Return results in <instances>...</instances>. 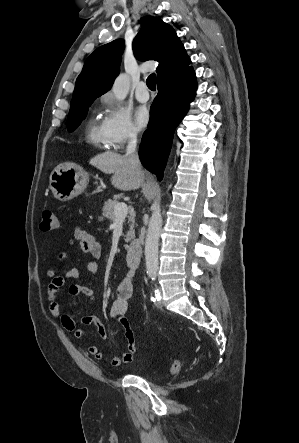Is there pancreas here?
<instances>
[{
  "label": "pancreas",
  "mask_w": 299,
  "mask_h": 443,
  "mask_svg": "<svg viewBox=\"0 0 299 443\" xmlns=\"http://www.w3.org/2000/svg\"><path fill=\"white\" fill-rule=\"evenodd\" d=\"M117 204H118V201H117V200H108V201H106V202L104 203V206H103V209H102V211H103L102 215H103L105 218L111 220L112 222H115V220H116L115 215H114V208H115V206H116ZM134 222H135V220H134V214L131 213V214L128 216V223H129L130 229H129V231L127 232V234H126V236H125V239H124L125 242H127V243L130 242L132 239L135 238Z\"/></svg>",
  "instance_id": "pancreas-1"
}]
</instances>
